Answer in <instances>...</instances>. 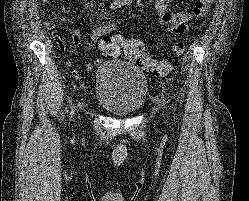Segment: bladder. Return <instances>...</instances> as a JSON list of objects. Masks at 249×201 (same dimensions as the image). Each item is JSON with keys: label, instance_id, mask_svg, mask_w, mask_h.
I'll use <instances>...</instances> for the list:
<instances>
[{"label": "bladder", "instance_id": "obj_1", "mask_svg": "<svg viewBox=\"0 0 249 201\" xmlns=\"http://www.w3.org/2000/svg\"><path fill=\"white\" fill-rule=\"evenodd\" d=\"M95 87L97 103L119 117L139 111L148 94L146 75L120 58L107 59L99 65Z\"/></svg>", "mask_w": 249, "mask_h": 201}]
</instances>
